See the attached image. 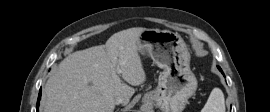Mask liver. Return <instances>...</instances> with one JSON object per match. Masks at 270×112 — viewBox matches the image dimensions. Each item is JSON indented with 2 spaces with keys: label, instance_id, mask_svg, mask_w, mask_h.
I'll use <instances>...</instances> for the list:
<instances>
[{
  "label": "liver",
  "instance_id": "6515ba94",
  "mask_svg": "<svg viewBox=\"0 0 270 112\" xmlns=\"http://www.w3.org/2000/svg\"><path fill=\"white\" fill-rule=\"evenodd\" d=\"M134 27L113 34L105 45L69 54L48 78L43 95V112H113L114 99L121 95L128 103L132 86L145 82L138 51L140 34Z\"/></svg>",
  "mask_w": 270,
  "mask_h": 112
}]
</instances>
